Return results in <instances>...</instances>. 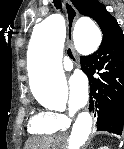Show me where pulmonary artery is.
<instances>
[{
	"label": "pulmonary artery",
	"mask_w": 124,
	"mask_h": 149,
	"mask_svg": "<svg viewBox=\"0 0 124 149\" xmlns=\"http://www.w3.org/2000/svg\"><path fill=\"white\" fill-rule=\"evenodd\" d=\"M63 67L65 70H71L72 69L73 65H72V61L69 57L64 58Z\"/></svg>",
	"instance_id": "pulmonary-artery-1"
}]
</instances>
